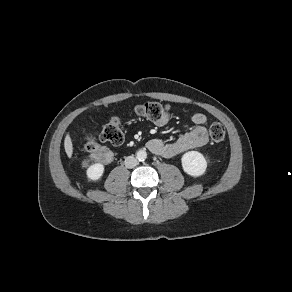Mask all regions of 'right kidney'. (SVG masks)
<instances>
[{
  "label": "right kidney",
  "instance_id": "1",
  "mask_svg": "<svg viewBox=\"0 0 292 292\" xmlns=\"http://www.w3.org/2000/svg\"><path fill=\"white\" fill-rule=\"evenodd\" d=\"M103 173L104 165L101 163L91 165L86 171L88 179L92 181L99 180L103 176Z\"/></svg>",
  "mask_w": 292,
  "mask_h": 292
}]
</instances>
